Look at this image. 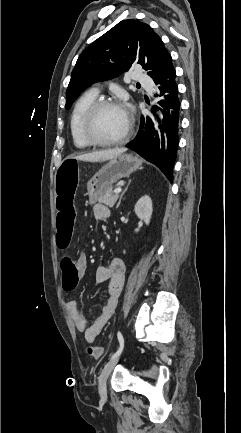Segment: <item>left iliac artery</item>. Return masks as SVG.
Wrapping results in <instances>:
<instances>
[{"label": "left iliac artery", "mask_w": 241, "mask_h": 433, "mask_svg": "<svg viewBox=\"0 0 241 433\" xmlns=\"http://www.w3.org/2000/svg\"><path fill=\"white\" fill-rule=\"evenodd\" d=\"M117 337H118V341H119L120 346H119V349L117 350V352L112 356V358L118 356L122 352L123 347H124V338H123V335L120 331H118Z\"/></svg>", "instance_id": "1"}]
</instances>
